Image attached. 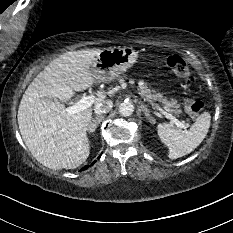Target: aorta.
<instances>
[{
	"label": "aorta",
	"mask_w": 233,
	"mask_h": 233,
	"mask_svg": "<svg viewBox=\"0 0 233 233\" xmlns=\"http://www.w3.org/2000/svg\"><path fill=\"white\" fill-rule=\"evenodd\" d=\"M134 111V105L131 101H124L119 106V113L122 116H130Z\"/></svg>",
	"instance_id": "1"
}]
</instances>
